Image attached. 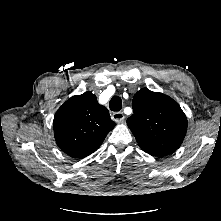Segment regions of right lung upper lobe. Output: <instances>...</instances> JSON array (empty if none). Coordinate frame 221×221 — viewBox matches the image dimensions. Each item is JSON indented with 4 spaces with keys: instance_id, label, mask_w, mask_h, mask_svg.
Instances as JSON below:
<instances>
[{
    "instance_id": "right-lung-upper-lobe-1",
    "label": "right lung upper lobe",
    "mask_w": 221,
    "mask_h": 221,
    "mask_svg": "<svg viewBox=\"0 0 221 221\" xmlns=\"http://www.w3.org/2000/svg\"><path fill=\"white\" fill-rule=\"evenodd\" d=\"M106 107L91 92L68 99L56 112L53 121L58 147L74 158L96 151L115 127Z\"/></svg>"
}]
</instances>
